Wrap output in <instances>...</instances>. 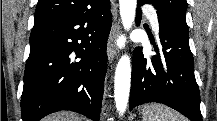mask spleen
<instances>
[{"mask_svg":"<svg viewBox=\"0 0 217 121\" xmlns=\"http://www.w3.org/2000/svg\"><path fill=\"white\" fill-rule=\"evenodd\" d=\"M143 121H185V118L169 107L150 104L142 110Z\"/></svg>","mask_w":217,"mask_h":121,"instance_id":"obj_1","label":"spleen"}]
</instances>
